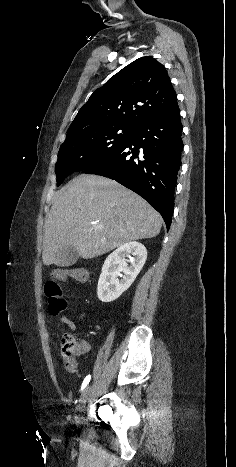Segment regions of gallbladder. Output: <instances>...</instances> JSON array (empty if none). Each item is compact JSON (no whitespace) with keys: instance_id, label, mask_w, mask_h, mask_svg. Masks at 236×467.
I'll list each match as a JSON object with an SVG mask.
<instances>
[{"instance_id":"1","label":"gallbladder","mask_w":236,"mask_h":467,"mask_svg":"<svg viewBox=\"0 0 236 467\" xmlns=\"http://www.w3.org/2000/svg\"><path fill=\"white\" fill-rule=\"evenodd\" d=\"M79 258L75 247L66 246L59 250L55 257V265L59 267H68L74 265Z\"/></svg>"}]
</instances>
